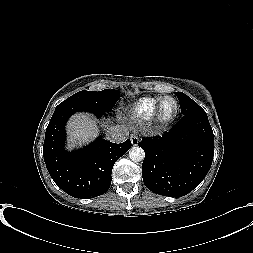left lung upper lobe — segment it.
Returning <instances> with one entry per match:
<instances>
[{
	"label": "left lung upper lobe",
	"instance_id": "left-lung-upper-lobe-1",
	"mask_svg": "<svg viewBox=\"0 0 253 253\" xmlns=\"http://www.w3.org/2000/svg\"><path fill=\"white\" fill-rule=\"evenodd\" d=\"M176 95L178 97L181 107V113L183 115L190 113H199L204 111L194 100H192L184 93L176 92Z\"/></svg>",
	"mask_w": 253,
	"mask_h": 253
}]
</instances>
